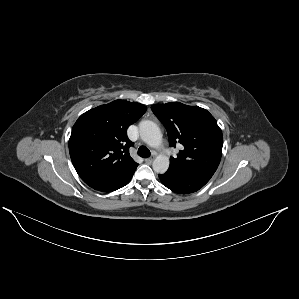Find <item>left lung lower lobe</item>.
Listing matches in <instances>:
<instances>
[{"label":"left lung lower lobe","instance_id":"1","mask_svg":"<svg viewBox=\"0 0 299 299\" xmlns=\"http://www.w3.org/2000/svg\"><path fill=\"white\" fill-rule=\"evenodd\" d=\"M211 177L212 175L203 173L174 174L166 172L159 175L161 182L167 188L179 194H188L198 191Z\"/></svg>","mask_w":299,"mask_h":299}]
</instances>
